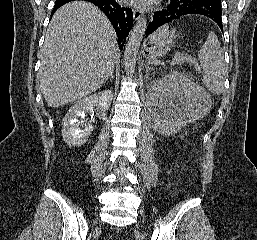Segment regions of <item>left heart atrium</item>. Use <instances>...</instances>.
Here are the masks:
<instances>
[{
    "mask_svg": "<svg viewBox=\"0 0 257 240\" xmlns=\"http://www.w3.org/2000/svg\"><path fill=\"white\" fill-rule=\"evenodd\" d=\"M127 2L137 6H149L155 2V0H126Z\"/></svg>",
    "mask_w": 257,
    "mask_h": 240,
    "instance_id": "1",
    "label": "left heart atrium"
}]
</instances>
